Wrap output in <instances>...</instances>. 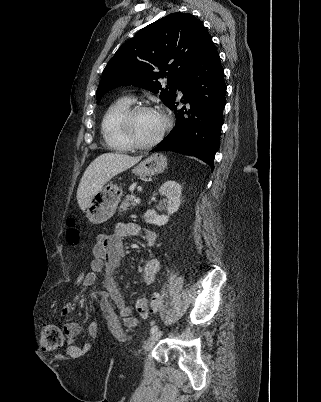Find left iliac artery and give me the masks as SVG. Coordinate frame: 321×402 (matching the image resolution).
Masks as SVG:
<instances>
[{
  "label": "left iliac artery",
  "mask_w": 321,
  "mask_h": 402,
  "mask_svg": "<svg viewBox=\"0 0 321 402\" xmlns=\"http://www.w3.org/2000/svg\"><path fill=\"white\" fill-rule=\"evenodd\" d=\"M157 330H158V326H157V325L152 326V328H151V334L155 333Z\"/></svg>",
  "instance_id": "44dca946"
}]
</instances>
